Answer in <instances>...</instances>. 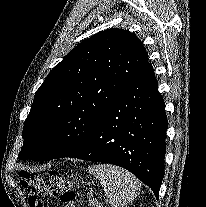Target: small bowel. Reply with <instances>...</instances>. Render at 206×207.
Returning <instances> with one entry per match:
<instances>
[{
	"label": "small bowel",
	"instance_id": "small-bowel-1",
	"mask_svg": "<svg viewBox=\"0 0 206 207\" xmlns=\"http://www.w3.org/2000/svg\"><path fill=\"white\" fill-rule=\"evenodd\" d=\"M62 207H71V206H65V205H62Z\"/></svg>",
	"mask_w": 206,
	"mask_h": 207
}]
</instances>
